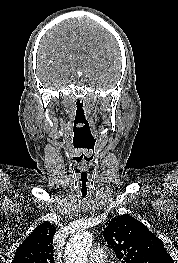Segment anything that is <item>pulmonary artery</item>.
<instances>
[{
	"mask_svg": "<svg viewBox=\"0 0 178 263\" xmlns=\"http://www.w3.org/2000/svg\"><path fill=\"white\" fill-rule=\"evenodd\" d=\"M107 261V253L101 247H94L88 255L89 263H105Z\"/></svg>",
	"mask_w": 178,
	"mask_h": 263,
	"instance_id": "e3ab8cb5",
	"label": "pulmonary artery"
}]
</instances>
